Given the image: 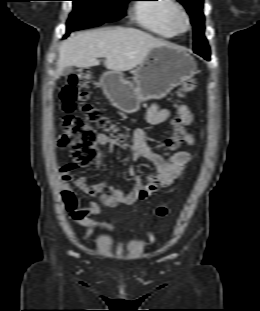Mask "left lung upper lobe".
Here are the masks:
<instances>
[{
    "label": "left lung upper lobe",
    "mask_w": 260,
    "mask_h": 311,
    "mask_svg": "<svg viewBox=\"0 0 260 311\" xmlns=\"http://www.w3.org/2000/svg\"><path fill=\"white\" fill-rule=\"evenodd\" d=\"M187 9L194 26V51L210 53L204 36V15L202 13L203 0H178Z\"/></svg>",
    "instance_id": "left-lung-upper-lobe-1"
}]
</instances>
